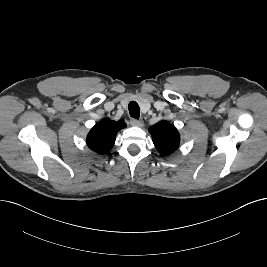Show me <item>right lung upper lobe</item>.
<instances>
[{
	"instance_id": "obj_1",
	"label": "right lung upper lobe",
	"mask_w": 267,
	"mask_h": 267,
	"mask_svg": "<svg viewBox=\"0 0 267 267\" xmlns=\"http://www.w3.org/2000/svg\"><path fill=\"white\" fill-rule=\"evenodd\" d=\"M126 127L124 121L103 119L96 124L87 136L88 147L96 153H108L115 142L118 131Z\"/></svg>"
}]
</instances>
